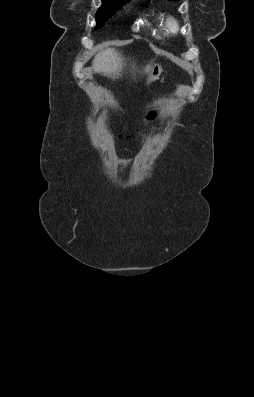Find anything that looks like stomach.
<instances>
[{
  "mask_svg": "<svg viewBox=\"0 0 254 397\" xmlns=\"http://www.w3.org/2000/svg\"><path fill=\"white\" fill-rule=\"evenodd\" d=\"M162 72V66L158 63H155L148 71L147 84H150L151 82L159 79V76Z\"/></svg>",
  "mask_w": 254,
  "mask_h": 397,
  "instance_id": "1",
  "label": "stomach"
}]
</instances>
